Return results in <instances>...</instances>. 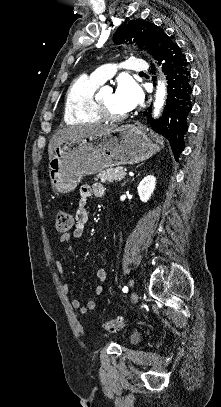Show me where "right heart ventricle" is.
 Returning a JSON list of instances; mask_svg holds the SVG:
<instances>
[{
    "label": "right heart ventricle",
    "instance_id": "e07e8e85",
    "mask_svg": "<svg viewBox=\"0 0 221 407\" xmlns=\"http://www.w3.org/2000/svg\"><path fill=\"white\" fill-rule=\"evenodd\" d=\"M99 86L88 76H80L71 83L64 102L66 123H94L101 120L95 110V92Z\"/></svg>",
    "mask_w": 221,
    "mask_h": 407
}]
</instances>
